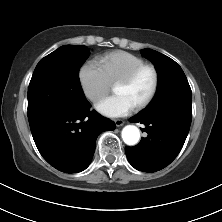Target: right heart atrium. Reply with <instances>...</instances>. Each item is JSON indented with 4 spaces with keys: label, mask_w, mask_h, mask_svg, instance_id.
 I'll return each instance as SVG.
<instances>
[{
    "label": "right heart atrium",
    "mask_w": 222,
    "mask_h": 222,
    "mask_svg": "<svg viewBox=\"0 0 222 222\" xmlns=\"http://www.w3.org/2000/svg\"><path fill=\"white\" fill-rule=\"evenodd\" d=\"M79 81L85 97L96 102L111 89V82L101 65L90 60L84 63L79 70Z\"/></svg>",
    "instance_id": "1"
}]
</instances>
